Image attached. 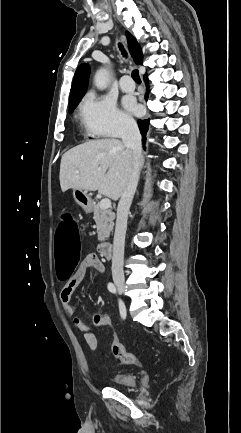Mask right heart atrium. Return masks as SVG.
<instances>
[{"mask_svg":"<svg viewBox=\"0 0 241 433\" xmlns=\"http://www.w3.org/2000/svg\"><path fill=\"white\" fill-rule=\"evenodd\" d=\"M81 122L88 135L119 136L132 132L135 122L109 97L88 94L79 107Z\"/></svg>","mask_w":241,"mask_h":433,"instance_id":"obj_1","label":"right heart atrium"}]
</instances>
